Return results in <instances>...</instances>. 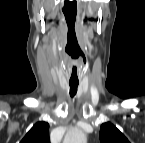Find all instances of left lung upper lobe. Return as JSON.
Returning <instances> with one entry per match:
<instances>
[{
    "label": "left lung upper lobe",
    "instance_id": "1",
    "mask_svg": "<svg viewBox=\"0 0 145 143\" xmlns=\"http://www.w3.org/2000/svg\"><path fill=\"white\" fill-rule=\"evenodd\" d=\"M101 143H128L127 138L111 123H103L100 128Z\"/></svg>",
    "mask_w": 145,
    "mask_h": 143
}]
</instances>
